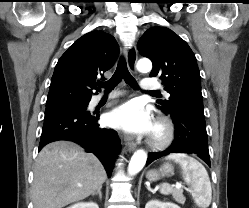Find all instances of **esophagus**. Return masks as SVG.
Instances as JSON below:
<instances>
[{"label":"esophagus","instance_id":"obj_1","mask_svg":"<svg viewBox=\"0 0 249 208\" xmlns=\"http://www.w3.org/2000/svg\"><path fill=\"white\" fill-rule=\"evenodd\" d=\"M126 59L130 71L136 72V62L138 59V54L135 46H131L128 49H126ZM124 140L129 150H134L136 148V143L133 141V139L130 136H126Z\"/></svg>","mask_w":249,"mask_h":208}]
</instances>
